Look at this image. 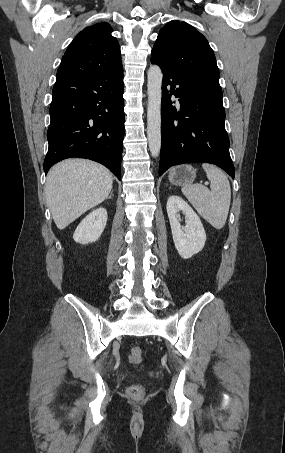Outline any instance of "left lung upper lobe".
Wrapping results in <instances>:
<instances>
[{"label": "left lung upper lobe", "mask_w": 285, "mask_h": 453, "mask_svg": "<svg viewBox=\"0 0 285 453\" xmlns=\"http://www.w3.org/2000/svg\"><path fill=\"white\" fill-rule=\"evenodd\" d=\"M151 58L164 69L190 77L222 95L213 50L206 38L186 22L173 20L160 30Z\"/></svg>", "instance_id": "obj_1"}]
</instances>
